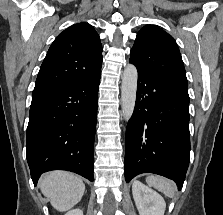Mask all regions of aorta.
<instances>
[{"instance_id": "aorta-1", "label": "aorta", "mask_w": 223, "mask_h": 215, "mask_svg": "<svg viewBox=\"0 0 223 215\" xmlns=\"http://www.w3.org/2000/svg\"><path fill=\"white\" fill-rule=\"evenodd\" d=\"M138 72L135 66L127 64L122 78L121 108L125 119H130L136 102Z\"/></svg>"}]
</instances>
